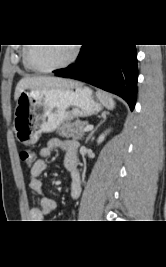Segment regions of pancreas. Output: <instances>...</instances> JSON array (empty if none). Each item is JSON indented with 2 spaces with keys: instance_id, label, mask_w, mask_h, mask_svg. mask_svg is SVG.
<instances>
[{
  "instance_id": "obj_1",
  "label": "pancreas",
  "mask_w": 166,
  "mask_h": 267,
  "mask_svg": "<svg viewBox=\"0 0 166 267\" xmlns=\"http://www.w3.org/2000/svg\"><path fill=\"white\" fill-rule=\"evenodd\" d=\"M86 124V122L82 121L66 122L57 129V133L59 136L66 138L82 139L84 136L83 129Z\"/></svg>"
}]
</instances>
